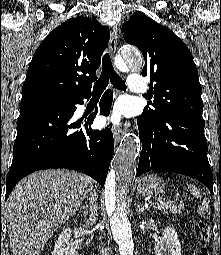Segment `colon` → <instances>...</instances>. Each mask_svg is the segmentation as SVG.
Here are the masks:
<instances>
[{"label":"colon","instance_id":"1","mask_svg":"<svg viewBox=\"0 0 221 255\" xmlns=\"http://www.w3.org/2000/svg\"><path fill=\"white\" fill-rule=\"evenodd\" d=\"M198 237L200 246L197 255H209V243L211 241L212 233L209 224L211 215V206L208 200H203L198 206Z\"/></svg>","mask_w":221,"mask_h":255}]
</instances>
